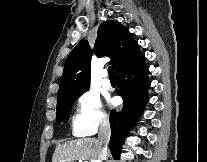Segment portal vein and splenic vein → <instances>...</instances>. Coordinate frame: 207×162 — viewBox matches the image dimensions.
Wrapping results in <instances>:
<instances>
[{
  "label": "portal vein and splenic vein",
  "instance_id": "obj_1",
  "mask_svg": "<svg viewBox=\"0 0 207 162\" xmlns=\"http://www.w3.org/2000/svg\"><path fill=\"white\" fill-rule=\"evenodd\" d=\"M79 162H82V160H79ZM85 162H87V161H85ZM93 162H98L97 160H95V161H93Z\"/></svg>",
  "mask_w": 207,
  "mask_h": 162
}]
</instances>
